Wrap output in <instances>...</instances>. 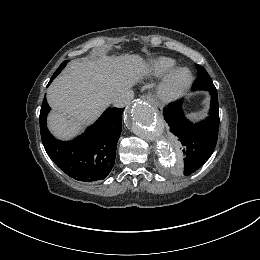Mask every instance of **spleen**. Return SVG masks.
<instances>
[{
	"label": "spleen",
	"instance_id": "3e777b00",
	"mask_svg": "<svg viewBox=\"0 0 260 260\" xmlns=\"http://www.w3.org/2000/svg\"><path fill=\"white\" fill-rule=\"evenodd\" d=\"M204 112L203 111H198V112H193L187 114V117L190 118L192 121H198L204 117Z\"/></svg>",
	"mask_w": 260,
	"mask_h": 260
}]
</instances>
